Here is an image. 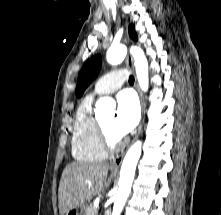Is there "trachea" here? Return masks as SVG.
I'll use <instances>...</instances> for the list:
<instances>
[{
  "label": "trachea",
  "mask_w": 221,
  "mask_h": 215,
  "mask_svg": "<svg viewBox=\"0 0 221 215\" xmlns=\"http://www.w3.org/2000/svg\"><path fill=\"white\" fill-rule=\"evenodd\" d=\"M129 83H130V84H133V83H134V77H133V76H130V78H129Z\"/></svg>",
  "instance_id": "obj_1"
}]
</instances>
